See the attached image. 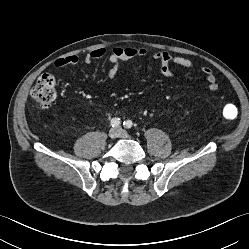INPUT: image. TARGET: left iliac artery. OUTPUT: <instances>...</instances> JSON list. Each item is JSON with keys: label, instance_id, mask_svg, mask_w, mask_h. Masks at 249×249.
<instances>
[{"label": "left iliac artery", "instance_id": "obj_1", "mask_svg": "<svg viewBox=\"0 0 249 249\" xmlns=\"http://www.w3.org/2000/svg\"><path fill=\"white\" fill-rule=\"evenodd\" d=\"M123 125H124L125 128L129 129V128L132 127L133 123H132L131 120H126V121L123 122Z\"/></svg>", "mask_w": 249, "mask_h": 249}]
</instances>
